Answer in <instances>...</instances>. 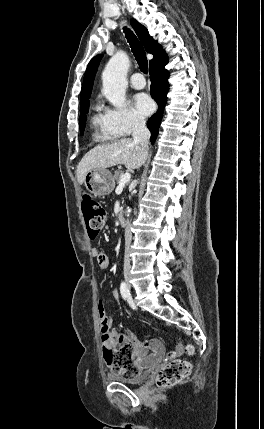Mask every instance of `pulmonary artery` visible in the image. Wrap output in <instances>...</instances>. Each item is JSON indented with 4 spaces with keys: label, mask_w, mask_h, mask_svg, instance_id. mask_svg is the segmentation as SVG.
<instances>
[{
    "label": "pulmonary artery",
    "mask_w": 264,
    "mask_h": 429,
    "mask_svg": "<svg viewBox=\"0 0 264 429\" xmlns=\"http://www.w3.org/2000/svg\"><path fill=\"white\" fill-rule=\"evenodd\" d=\"M131 86L134 89H143L146 85V81L141 73H134L130 77Z\"/></svg>",
    "instance_id": "e3ab8cb5"
}]
</instances>
